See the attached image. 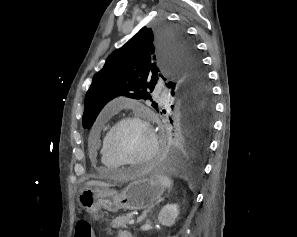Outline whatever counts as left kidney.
<instances>
[{"label":"left kidney","mask_w":297,"mask_h":237,"mask_svg":"<svg viewBox=\"0 0 297 237\" xmlns=\"http://www.w3.org/2000/svg\"><path fill=\"white\" fill-rule=\"evenodd\" d=\"M179 216V210L177 204H167L164 206L159 215H158V221L160 224L171 227L175 224V220Z\"/></svg>","instance_id":"left-kidney-1"}]
</instances>
